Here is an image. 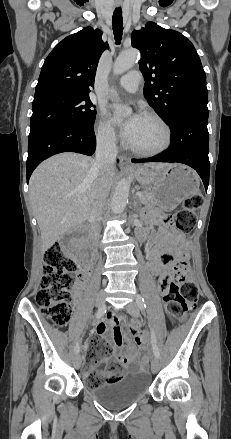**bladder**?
Wrapping results in <instances>:
<instances>
[{"label": "bladder", "mask_w": 231, "mask_h": 439, "mask_svg": "<svg viewBox=\"0 0 231 439\" xmlns=\"http://www.w3.org/2000/svg\"><path fill=\"white\" fill-rule=\"evenodd\" d=\"M151 375L147 370L135 369L128 372L118 383L89 387L90 395L110 409L128 406L145 395L151 385Z\"/></svg>", "instance_id": "bladder-1"}]
</instances>
